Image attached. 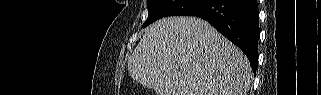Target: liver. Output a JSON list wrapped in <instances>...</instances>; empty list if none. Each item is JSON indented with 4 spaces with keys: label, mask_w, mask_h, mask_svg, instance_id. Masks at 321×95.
<instances>
[{
    "label": "liver",
    "mask_w": 321,
    "mask_h": 95,
    "mask_svg": "<svg viewBox=\"0 0 321 95\" xmlns=\"http://www.w3.org/2000/svg\"><path fill=\"white\" fill-rule=\"evenodd\" d=\"M127 68L157 95H246L252 79L242 51L195 17L163 18L147 27Z\"/></svg>",
    "instance_id": "1"
}]
</instances>
